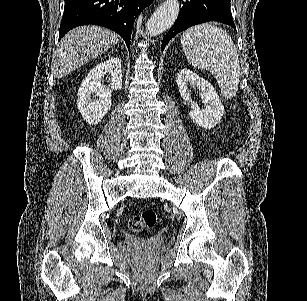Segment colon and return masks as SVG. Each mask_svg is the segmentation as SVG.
I'll return each instance as SVG.
<instances>
[{
  "instance_id": "1",
  "label": "colon",
  "mask_w": 307,
  "mask_h": 301,
  "mask_svg": "<svg viewBox=\"0 0 307 301\" xmlns=\"http://www.w3.org/2000/svg\"><path fill=\"white\" fill-rule=\"evenodd\" d=\"M157 222V215L154 210L146 209L130 218L128 226L134 232H141L153 228Z\"/></svg>"
}]
</instances>
